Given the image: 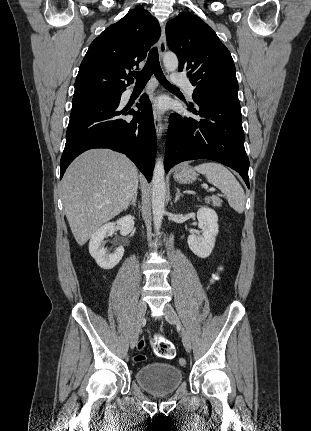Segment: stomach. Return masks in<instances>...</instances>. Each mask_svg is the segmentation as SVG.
Segmentation results:
<instances>
[{
  "instance_id": "0dacf381",
  "label": "stomach",
  "mask_w": 311,
  "mask_h": 431,
  "mask_svg": "<svg viewBox=\"0 0 311 431\" xmlns=\"http://www.w3.org/2000/svg\"><path fill=\"white\" fill-rule=\"evenodd\" d=\"M173 178L178 184H193L197 180V174L191 166L181 164V166H178L176 172H174Z\"/></svg>"
}]
</instances>
